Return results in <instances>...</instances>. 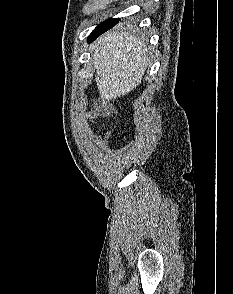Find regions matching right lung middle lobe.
<instances>
[{
  "instance_id": "obj_1",
  "label": "right lung middle lobe",
  "mask_w": 233,
  "mask_h": 294,
  "mask_svg": "<svg viewBox=\"0 0 233 294\" xmlns=\"http://www.w3.org/2000/svg\"><path fill=\"white\" fill-rule=\"evenodd\" d=\"M117 21H119V19H109V20H107V21H105V22H103V23L117 22ZM103 23H102V24H103Z\"/></svg>"
}]
</instances>
